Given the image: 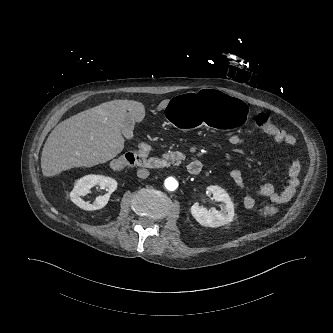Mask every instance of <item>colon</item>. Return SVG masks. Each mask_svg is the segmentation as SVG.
Returning <instances> with one entry per match:
<instances>
[{
  "instance_id": "obj_1",
  "label": "colon",
  "mask_w": 333,
  "mask_h": 333,
  "mask_svg": "<svg viewBox=\"0 0 333 333\" xmlns=\"http://www.w3.org/2000/svg\"><path fill=\"white\" fill-rule=\"evenodd\" d=\"M256 126L261 132L270 137H274L278 131V127L274 120L265 113L257 115ZM147 155V150L138 149L135 151H129L112 160L111 167L114 170H121L126 167L140 165L145 161ZM277 211L278 209L275 205L267 204L261 208L260 213L263 217H270L276 214Z\"/></svg>"
}]
</instances>
